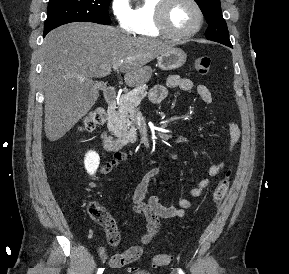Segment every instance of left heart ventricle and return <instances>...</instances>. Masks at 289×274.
Instances as JSON below:
<instances>
[{"label":"left heart ventricle","mask_w":289,"mask_h":274,"mask_svg":"<svg viewBox=\"0 0 289 274\" xmlns=\"http://www.w3.org/2000/svg\"><path fill=\"white\" fill-rule=\"evenodd\" d=\"M168 22L173 30L186 32L197 25L198 15L188 0H175L169 9Z\"/></svg>","instance_id":"b2bd125f"}]
</instances>
